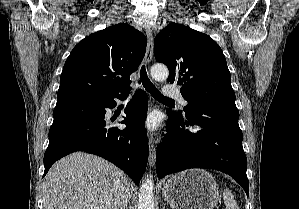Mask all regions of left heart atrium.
<instances>
[{"label":"left heart atrium","mask_w":299,"mask_h":209,"mask_svg":"<svg viewBox=\"0 0 299 209\" xmlns=\"http://www.w3.org/2000/svg\"><path fill=\"white\" fill-rule=\"evenodd\" d=\"M145 124L151 130L156 129L157 126H158V119H157L156 115L155 114H150L147 117V119L145 121Z\"/></svg>","instance_id":"39dd6f15"}]
</instances>
